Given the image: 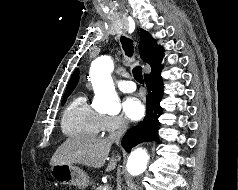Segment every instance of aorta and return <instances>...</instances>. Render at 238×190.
Segmentation results:
<instances>
[{
    "label": "aorta",
    "instance_id": "aorta-1",
    "mask_svg": "<svg viewBox=\"0 0 238 190\" xmlns=\"http://www.w3.org/2000/svg\"><path fill=\"white\" fill-rule=\"evenodd\" d=\"M113 68L112 59L106 55L95 59L90 68L91 82L96 94V108L107 113H119L121 110L111 77ZM148 158L146 150L137 148L129 156L128 171L133 175L142 173L146 169Z\"/></svg>",
    "mask_w": 238,
    "mask_h": 190
}]
</instances>
